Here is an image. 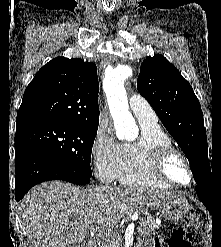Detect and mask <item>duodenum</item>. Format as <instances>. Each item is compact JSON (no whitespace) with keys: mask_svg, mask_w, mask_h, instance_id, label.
I'll use <instances>...</instances> for the list:
<instances>
[{"mask_svg":"<svg viewBox=\"0 0 221 247\" xmlns=\"http://www.w3.org/2000/svg\"><path fill=\"white\" fill-rule=\"evenodd\" d=\"M86 247H97V243L94 240H89L86 243Z\"/></svg>","mask_w":221,"mask_h":247,"instance_id":"1","label":"duodenum"}]
</instances>
